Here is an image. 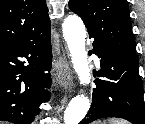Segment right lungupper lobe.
<instances>
[{"label":"right lung upper lobe","instance_id":"obj_1","mask_svg":"<svg viewBox=\"0 0 145 124\" xmlns=\"http://www.w3.org/2000/svg\"><path fill=\"white\" fill-rule=\"evenodd\" d=\"M50 28L46 0H0V45L35 39Z\"/></svg>","mask_w":145,"mask_h":124}]
</instances>
